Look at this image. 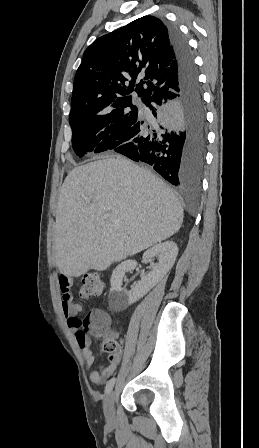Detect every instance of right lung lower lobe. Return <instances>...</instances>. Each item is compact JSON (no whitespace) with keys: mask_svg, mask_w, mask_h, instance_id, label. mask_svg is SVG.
Wrapping results in <instances>:
<instances>
[{"mask_svg":"<svg viewBox=\"0 0 259 448\" xmlns=\"http://www.w3.org/2000/svg\"><path fill=\"white\" fill-rule=\"evenodd\" d=\"M164 24L177 63L178 86L145 102L149 114H139L112 150L151 165L176 187H197L206 148L202 91L186 39L177 27Z\"/></svg>","mask_w":259,"mask_h":448,"instance_id":"obj_1","label":"right lung lower lobe"}]
</instances>
